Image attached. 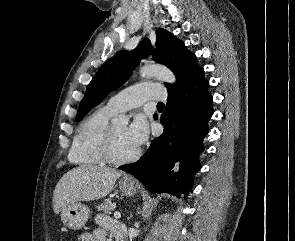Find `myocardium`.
<instances>
[{
	"label": "myocardium",
	"mask_w": 295,
	"mask_h": 241,
	"mask_svg": "<svg viewBox=\"0 0 295 241\" xmlns=\"http://www.w3.org/2000/svg\"><path fill=\"white\" fill-rule=\"evenodd\" d=\"M101 154L104 161H106L107 163L113 164V165H121V164H127L137 160L141 154V150L137 149L135 153L126 157H118L117 155H115L114 128H113V125H110L101 145Z\"/></svg>",
	"instance_id": "1"
}]
</instances>
